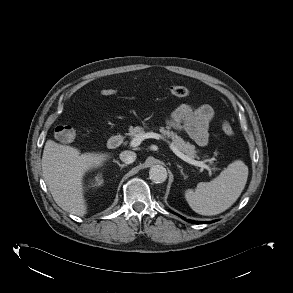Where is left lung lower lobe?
Here are the masks:
<instances>
[{"instance_id": "obj_1", "label": "left lung lower lobe", "mask_w": 293, "mask_h": 293, "mask_svg": "<svg viewBox=\"0 0 293 293\" xmlns=\"http://www.w3.org/2000/svg\"><path fill=\"white\" fill-rule=\"evenodd\" d=\"M182 219L186 220L183 216H180ZM190 223L193 224H203V223H210V222H199V221H193V220H188Z\"/></svg>"}]
</instances>
